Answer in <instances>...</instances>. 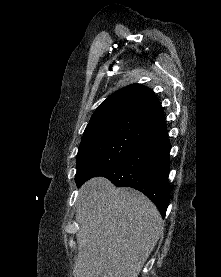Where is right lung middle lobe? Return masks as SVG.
<instances>
[{
  "instance_id": "1",
  "label": "right lung middle lobe",
  "mask_w": 221,
  "mask_h": 277,
  "mask_svg": "<svg viewBox=\"0 0 221 277\" xmlns=\"http://www.w3.org/2000/svg\"><path fill=\"white\" fill-rule=\"evenodd\" d=\"M139 123L103 125L85 130L77 154V183L101 174L121 161L143 138Z\"/></svg>"
}]
</instances>
